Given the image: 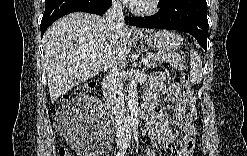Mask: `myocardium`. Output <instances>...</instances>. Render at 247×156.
I'll list each match as a JSON object with an SVG mask.
<instances>
[{
  "label": "myocardium",
  "instance_id": "f54148a6",
  "mask_svg": "<svg viewBox=\"0 0 247 156\" xmlns=\"http://www.w3.org/2000/svg\"><path fill=\"white\" fill-rule=\"evenodd\" d=\"M156 10V1L154 0H150V1H146L144 4H141L140 6H138L135 9V12L138 15H150L152 13H154Z\"/></svg>",
  "mask_w": 247,
  "mask_h": 156
}]
</instances>
